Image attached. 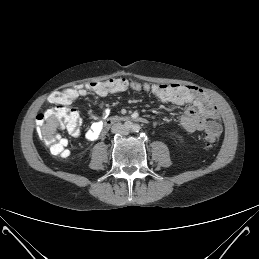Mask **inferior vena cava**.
<instances>
[{
    "instance_id": "inferior-vena-cava-1",
    "label": "inferior vena cava",
    "mask_w": 259,
    "mask_h": 259,
    "mask_svg": "<svg viewBox=\"0 0 259 259\" xmlns=\"http://www.w3.org/2000/svg\"><path fill=\"white\" fill-rule=\"evenodd\" d=\"M111 132L113 134H119V135H127L128 134V130L121 123L114 124L111 127Z\"/></svg>"
}]
</instances>
